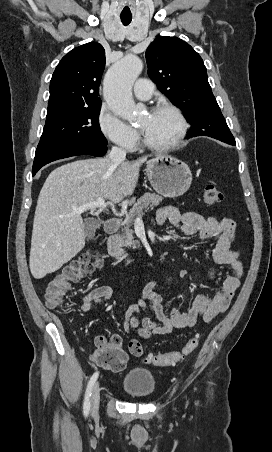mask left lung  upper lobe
I'll list each match as a JSON object with an SVG mask.
<instances>
[{"label":"left lung upper lobe","mask_w":272,"mask_h":452,"mask_svg":"<svg viewBox=\"0 0 272 452\" xmlns=\"http://www.w3.org/2000/svg\"><path fill=\"white\" fill-rule=\"evenodd\" d=\"M148 74L192 125L189 133L234 139L211 91L200 55L177 37L158 36L146 51Z\"/></svg>","instance_id":"5c2ea615"}]
</instances>
